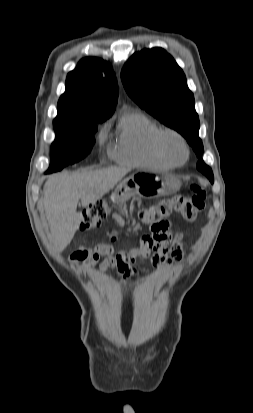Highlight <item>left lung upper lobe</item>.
I'll return each instance as SVG.
<instances>
[{
  "instance_id": "5c2ea615",
  "label": "left lung upper lobe",
  "mask_w": 253,
  "mask_h": 413,
  "mask_svg": "<svg viewBox=\"0 0 253 413\" xmlns=\"http://www.w3.org/2000/svg\"><path fill=\"white\" fill-rule=\"evenodd\" d=\"M121 77L128 95L141 108L187 139L199 157L197 169L213 183L211 168L200 158L203 145L194 96L172 56L162 48L144 49L128 59Z\"/></svg>"
}]
</instances>
